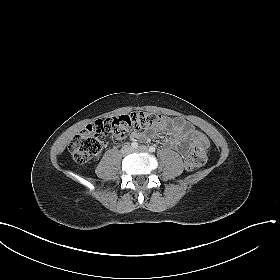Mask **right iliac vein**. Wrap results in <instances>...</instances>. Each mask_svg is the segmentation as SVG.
I'll use <instances>...</instances> for the list:
<instances>
[{
	"label": "right iliac vein",
	"mask_w": 280,
	"mask_h": 280,
	"mask_svg": "<svg viewBox=\"0 0 280 280\" xmlns=\"http://www.w3.org/2000/svg\"><path fill=\"white\" fill-rule=\"evenodd\" d=\"M132 152V148L129 146V145H125L123 148H122V153L123 154H129Z\"/></svg>",
	"instance_id": "63e3f726"
}]
</instances>
